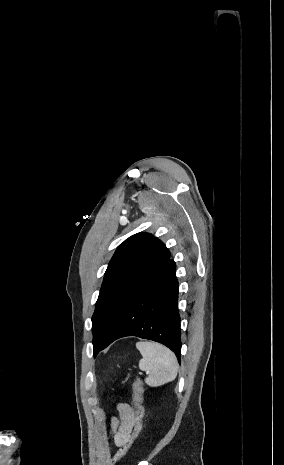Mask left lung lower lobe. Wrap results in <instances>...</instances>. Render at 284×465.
Masks as SVG:
<instances>
[{
	"label": "left lung lower lobe",
	"mask_w": 284,
	"mask_h": 465,
	"mask_svg": "<svg viewBox=\"0 0 284 465\" xmlns=\"http://www.w3.org/2000/svg\"><path fill=\"white\" fill-rule=\"evenodd\" d=\"M172 259L122 309L106 335L102 350L115 340L137 336L171 349L180 363L178 281Z\"/></svg>",
	"instance_id": "1"
}]
</instances>
